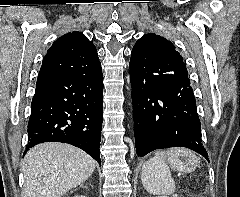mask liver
<instances>
[{
	"instance_id": "1",
	"label": "liver",
	"mask_w": 240,
	"mask_h": 197,
	"mask_svg": "<svg viewBox=\"0 0 240 197\" xmlns=\"http://www.w3.org/2000/svg\"><path fill=\"white\" fill-rule=\"evenodd\" d=\"M95 166V160L75 146L59 142L38 144L22 161V197H61L85 182Z\"/></svg>"
}]
</instances>
